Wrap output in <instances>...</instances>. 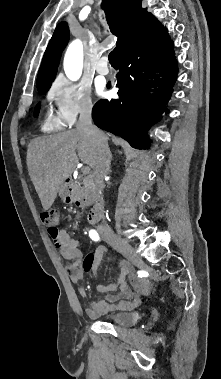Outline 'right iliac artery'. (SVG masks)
Masks as SVG:
<instances>
[{"instance_id": "obj_1", "label": "right iliac artery", "mask_w": 221, "mask_h": 379, "mask_svg": "<svg viewBox=\"0 0 221 379\" xmlns=\"http://www.w3.org/2000/svg\"><path fill=\"white\" fill-rule=\"evenodd\" d=\"M89 236L94 241H99L100 240L99 234L94 229H92V230L89 231Z\"/></svg>"}]
</instances>
